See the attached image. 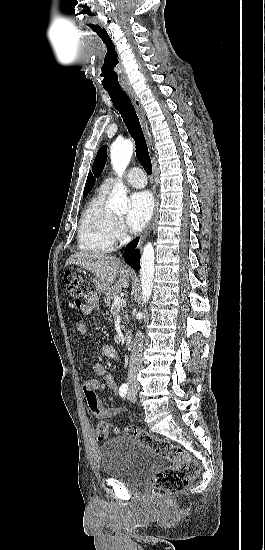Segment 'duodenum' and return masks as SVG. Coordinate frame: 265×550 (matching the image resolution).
<instances>
[{
  "label": "duodenum",
  "instance_id": "410a0bca",
  "mask_svg": "<svg viewBox=\"0 0 265 550\" xmlns=\"http://www.w3.org/2000/svg\"><path fill=\"white\" fill-rule=\"evenodd\" d=\"M124 345H125V348L128 350L132 349L133 347V337L130 332H126L124 334Z\"/></svg>",
  "mask_w": 265,
  "mask_h": 550
}]
</instances>
